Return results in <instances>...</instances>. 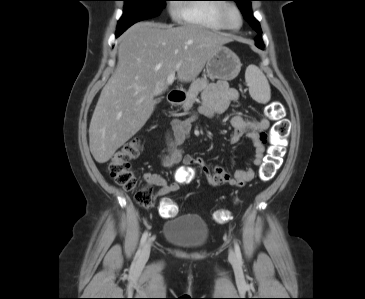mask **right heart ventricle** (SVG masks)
I'll list each match as a JSON object with an SVG mask.
<instances>
[{
    "mask_svg": "<svg viewBox=\"0 0 365 299\" xmlns=\"http://www.w3.org/2000/svg\"><path fill=\"white\" fill-rule=\"evenodd\" d=\"M192 2L180 5L176 14L177 19L184 24L196 25L212 30L223 29L218 13L223 0H187Z\"/></svg>",
    "mask_w": 365,
    "mask_h": 299,
    "instance_id": "right-heart-ventricle-1",
    "label": "right heart ventricle"
}]
</instances>
